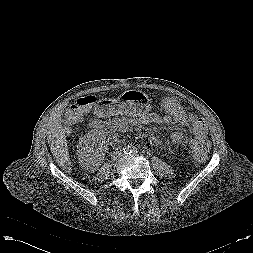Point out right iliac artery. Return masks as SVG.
Here are the masks:
<instances>
[{
	"instance_id": "obj_1",
	"label": "right iliac artery",
	"mask_w": 253,
	"mask_h": 253,
	"mask_svg": "<svg viewBox=\"0 0 253 253\" xmlns=\"http://www.w3.org/2000/svg\"><path fill=\"white\" fill-rule=\"evenodd\" d=\"M125 153H126V154H129V153H130V152H129V149H126V150H125Z\"/></svg>"
}]
</instances>
